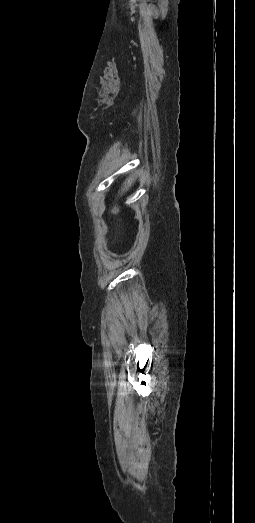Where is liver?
<instances>
[{"mask_svg":"<svg viewBox=\"0 0 255 523\" xmlns=\"http://www.w3.org/2000/svg\"><path fill=\"white\" fill-rule=\"evenodd\" d=\"M135 178H127L124 182L123 188H121L122 192H126V190H129L131 184H133ZM112 214H118L119 208H112L111 210Z\"/></svg>","mask_w":255,"mask_h":523,"instance_id":"1","label":"liver"}]
</instances>
